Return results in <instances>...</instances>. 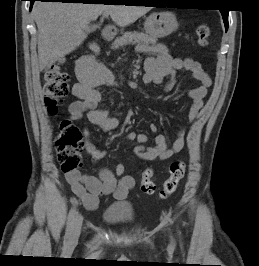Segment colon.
<instances>
[{
    "label": "colon",
    "mask_w": 259,
    "mask_h": 266,
    "mask_svg": "<svg viewBox=\"0 0 259 266\" xmlns=\"http://www.w3.org/2000/svg\"><path fill=\"white\" fill-rule=\"evenodd\" d=\"M210 36V28L207 24H201L196 29V37L200 46H206ZM44 103L47 111L54 115L58 112L64 97L69 92V75L65 72L61 63L52 66L44 77ZM84 147L83 136L80 130L68 120L60 124V133L56 140L57 158L62 171L65 174L75 173L81 166V151ZM118 175H123L125 167L117 165L115 169ZM186 164L184 161H174L169 167V176L163 183L160 190V197L165 199L173 194L180 181L184 177ZM154 171L146 168L142 172L140 188L145 194H152L155 191L153 182Z\"/></svg>",
    "instance_id": "5ec220e1"
}]
</instances>
